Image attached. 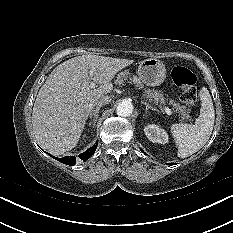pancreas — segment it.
Segmentation results:
<instances>
[{
    "instance_id": "pancreas-1",
    "label": "pancreas",
    "mask_w": 233,
    "mask_h": 233,
    "mask_svg": "<svg viewBox=\"0 0 233 233\" xmlns=\"http://www.w3.org/2000/svg\"><path fill=\"white\" fill-rule=\"evenodd\" d=\"M130 73H129V70H124L122 72H120L118 75H117V79L115 81L116 84H121L123 82V80H127L128 77H130ZM134 84H135V87L136 88H143V85L141 83H138L136 81H134ZM145 96L147 98H149L150 100H155V101H160V103L164 104L165 103V99L163 97V95L159 92H154L150 89H145ZM169 105H172L173 107V110L175 112L178 113V115L180 116L181 120H185V119H188L190 120V115H189V109L186 110V107L185 106H181L178 102L174 101V100H170L169 101Z\"/></svg>"
}]
</instances>
